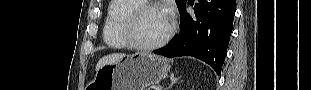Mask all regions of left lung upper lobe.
Segmentation results:
<instances>
[{"mask_svg": "<svg viewBox=\"0 0 311 90\" xmlns=\"http://www.w3.org/2000/svg\"><path fill=\"white\" fill-rule=\"evenodd\" d=\"M186 3V0H176V4L179 8V10L181 9V7Z\"/></svg>", "mask_w": 311, "mask_h": 90, "instance_id": "obj_1", "label": "left lung upper lobe"}]
</instances>
